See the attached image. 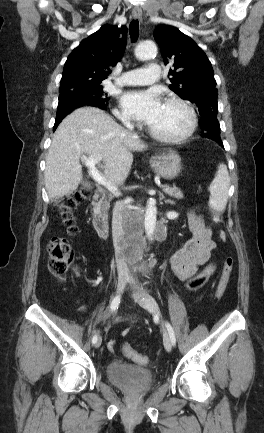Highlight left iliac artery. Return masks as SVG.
Here are the masks:
<instances>
[{
	"mask_svg": "<svg viewBox=\"0 0 264 433\" xmlns=\"http://www.w3.org/2000/svg\"><path fill=\"white\" fill-rule=\"evenodd\" d=\"M166 327H167V330L169 332L172 345H175L176 344V337H175V333L173 331V328L168 322L166 323Z\"/></svg>",
	"mask_w": 264,
	"mask_h": 433,
	"instance_id": "obj_1",
	"label": "left iliac artery"
}]
</instances>
